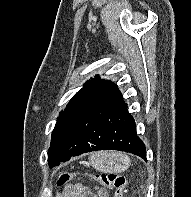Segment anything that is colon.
Segmentation results:
<instances>
[{
  "instance_id": "obj_1",
  "label": "colon",
  "mask_w": 191,
  "mask_h": 197,
  "mask_svg": "<svg viewBox=\"0 0 191 197\" xmlns=\"http://www.w3.org/2000/svg\"><path fill=\"white\" fill-rule=\"evenodd\" d=\"M77 177L78 175L75 173L62 171L58 175L57 185H66ZM90 177L104 188L113 191V197H123L126 185V179L123 175L117 173H101Z\"/></svg>"
}]
</instances>
